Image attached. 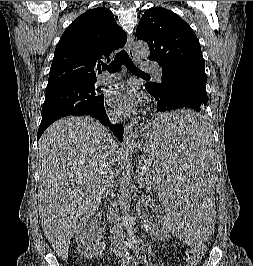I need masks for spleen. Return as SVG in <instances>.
I'll return each instance as SVG.
<instances>
[{
	"label": "spleen",
	"mask_w": 253,
	"mask_h": 266,
	"mask_svg": "<svg viewBox=\"0 0 253 266\" xmlns=\"http://www.w3.org/2000/svg\"><path fill=\"white\" fill-rule=\"evenodd\" d=\"M199 111H165L151 117L155 138L149 160L141 166L151 198L163 204L180 248H207L217 235L211 184L214 165L208 124Z\"/></svg>",
	"instance_id": "3e777b00"
}]
</instances>
